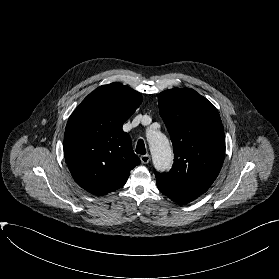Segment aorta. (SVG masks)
<instances>
[{
  "instance_id": "aorta-1",
  "label": "aorta",
  "mask_w": 279,
  "mask_h": 279,
  "mask_svg": "<svg viewBox=\"0 0 279 279\" xmlns=\"http://www.w3.org/2000/svg\"><path fill=\"white\" fill-rule=\"evenodd\" d=\"M147 141L155 169L167 170L172 163V150L168 138L162 132L150 129L147 132Z\"/></svg>"
}]
</instances>
